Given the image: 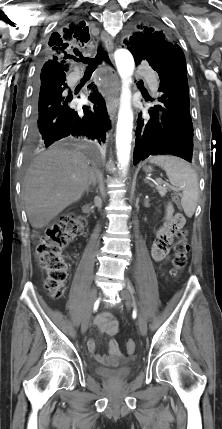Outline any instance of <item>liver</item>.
Instances as JSON below:
<instances>
[{"label":"liver","instance_id":"1","mask_svg":"<svg viewBox=\"0 0 222 429\" xmlns=\"http://www.w3.org/2000/svg\"><path fill=\"white\" fill-rule=\"evenodd\" d=\"M93 178L81 152L53 146L37 156L23 181V199L33 228H43L83 196Z\"/></svg>","mask_w":222,"mask_h":429}]
</instances>
